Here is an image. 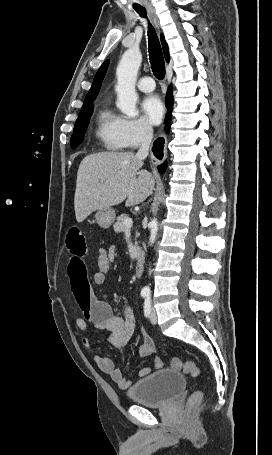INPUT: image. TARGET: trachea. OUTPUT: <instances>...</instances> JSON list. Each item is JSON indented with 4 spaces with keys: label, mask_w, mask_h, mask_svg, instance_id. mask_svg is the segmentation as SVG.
Instances as JSON below:
<instances>
[{
    "label": "trachea",
    "mask_w": 272,
    "mask_h": 455,
    "mask_svg": "<svg viewBox=\"0 0 272 455\" xmlns=\"http://www.w3.org/2000/svg\"><path fill=\"white\" fill-rule=\"evenodd\" d=\"M136 12L142 17H146V10L143 7H136ZM149 59L154 76L162 80L165 77V62L163 58L160 42L154 27H148Z\"/></svg>",
    "instance_id": "trachea-1"
}]
</instances>
